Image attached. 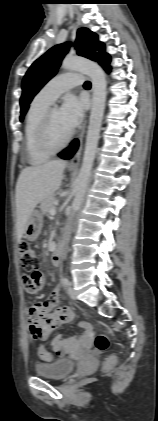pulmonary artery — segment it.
I'll use <instances>...</instances> for the list:
<instances>
[{"instance_id": "obj_1", "label": "pulmonary artery", "mask_w": 158, "mask_h": 421, "mask_svg": "<svg viewBox=\"0 0 158 421\" xmlns=\"http://www.w3.org/2000/svg\"><path fill=\"white\" fill-rule=\"evenodd\" d=\"M82 83V76L75 72H66L50 80L38 93V96L50 103L62 93Z\"/></svg>"}]
</instances>
